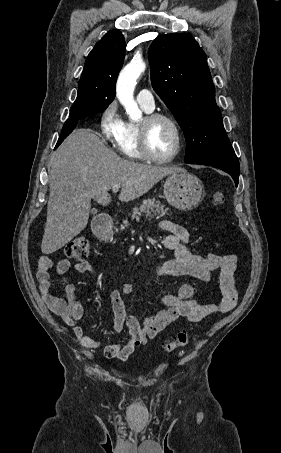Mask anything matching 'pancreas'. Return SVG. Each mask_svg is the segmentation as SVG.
I'll return each instance as SVG.
<instances>
[{
    "instance_id": "cf45deb5",
    "label": "pancreas",
    "mask_w": 281,
    "mask_h": 453,
    "mask_svg": "<svg viewBox=\"0 0 281 453\" xmlns=\"http://www.w3.org/2000/svg\"><path fill=\"white\" fill-rule=\"evenodd\" d=\"M165 204H160V200L155 198H146L140 206H135L132 210V216L139 218L141 214H145L146 218H161L164 214H168L169 208H164ZM124 224H128V220H123Z\"/></svg>"
}]
</instances>
